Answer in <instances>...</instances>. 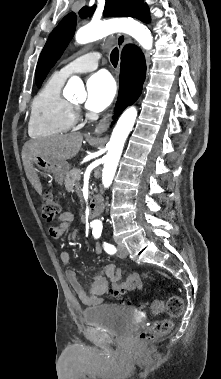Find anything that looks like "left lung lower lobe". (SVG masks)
<instances>
[{"label":"left lung lower lobe","instance_id":"1","mask_svg":"<svg viewBox=\"0 0 221 379\" xmlns=\"http://www.w3.org/2000/svg\"><path fill=\"white\" fill-rule=\"evenodd\" d=\"M140 20L144 21V22H149V20H150V18H149V9L143 14V16L141 17Z\"/></svg>","mask_w":221,"mask_h":379}]
</instances>
